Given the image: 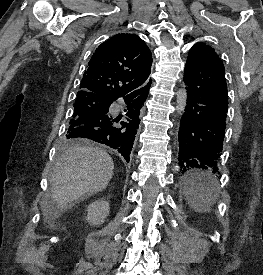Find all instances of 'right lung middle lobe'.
I'll use <instances>...</instances> for the list:
<instances>
[{
    "mask_svg": "<svg viewBox=\"0 0 263 275\" xmlns=\"http://www.w3.org/2000/svg\"><path fill=\"white\" fill-rule=\"evenodd\" d=\"M109 105L110 102L108 100L93 94L78 95L74 104L73 118L71 121L85 114L107 112ZM76 144H78L77 140L74 138H68L67 136H65L62 141V145L64 146H71Z\"/></svg>",
    "mask_w": 263,
    "mask_h": 275,
    "instance_id": "dd1d6c3e",
    "label": "right lung middle lobe"
}]
</instances>
